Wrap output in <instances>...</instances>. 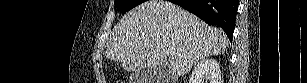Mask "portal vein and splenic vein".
Segmentation results:
<instances>
[{
	"label": "portal vein and splenic vein",
	"mask_w": 307,
	"mask_h": 83,
	"mask_svg": "<svg viewBox=\"0 0 307 83\" xmlns=\"http://www.w3.org/2000/svg\"><path fill=\"white\" fill-rule=\"evenodd\" d=\"M170 54H171V55H177L178 52H177L176 50H174V49H171V50H170Z\"/></svg>",
	"instance_id": "1"
}]
</instances>
